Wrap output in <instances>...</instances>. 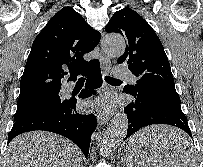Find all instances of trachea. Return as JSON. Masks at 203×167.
I'll use <instances>...</instances> for the list:
<instances>
[{
    "mask_svg": "<svg viewBox=\"0 0 203 167\" xmlns=\"http://www.w3.org/2000/svg\"><path fill=\"white\" fill-rule=\"evenodd\" d=\"M79 80H84L83 77H81ZM105 81L108 82V83H111V82H116V81H120L119 79H115L113 77H110V76H105Z\"/></svg>",
    "mask_w": 203,
    "mask_h": 167,
    "instance_id": "trachea-1",
    "label": "trachea"
}]
</instances>
